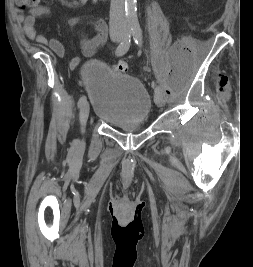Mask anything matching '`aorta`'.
Returning a JSON list of instances; mask_svg holds the SVG:
<instances>
[{
  "mask_svg": "<svg viewBox=\"0 0 253 267\" xmlns=\"http://www.w3.org/2000/svg\"><path fill=\"white\" fill-rule=\"evenodd\" d=\"M125 24L127 28H140L136 0H125Z\"/></svg>",
  "mask_w": 253,
  "mask_h": 267,
  "instance_id": "1",
  "label": "aorta"
}]
</instances>
